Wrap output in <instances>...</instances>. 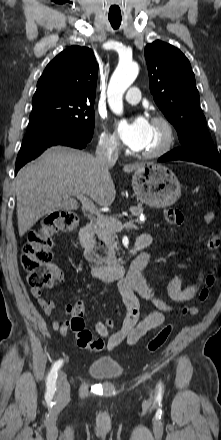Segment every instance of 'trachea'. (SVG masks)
I'll list each match as a JSON object with an SVG mask.
<instances>
[{"label":"trachea","instance_id":"obj_1","mask_svg":"<svg viewBox=\"0 0 221 440\" xmlns=\"http://www.w3.org/2000/svg\"><path fill=\"white\" fill-rule=\"evenodd\" d=\"M109 21L114 29L119 28L121 24V18L109 17Z\"/></svg>","mask_w":221,"mask_h":440}]
</instances>
